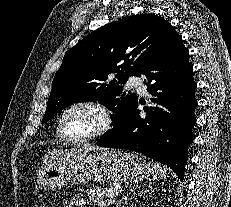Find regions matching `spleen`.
I'll return each mask as SVG.
<instances>
[{"label": "spleen", "mask_w": 231, "mask_h": 207, "mask_svg": "<svg viewBox=\"0 0 231 207\" xmlns=\"http://www.w3.org/2000/svg\"><path fill=\"white\" fill-rule=\"evenodd\" d=\"M168 172V169L166 167H161L160 165L158 164H152V167H151V173L153 175V178L157 179V178H160V179H165L166 178V174Z\"/></svg>", "instance_id": "3e777b00"}]
</instances>
